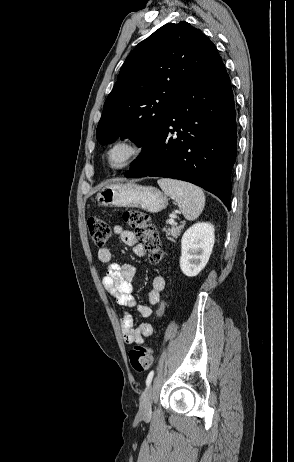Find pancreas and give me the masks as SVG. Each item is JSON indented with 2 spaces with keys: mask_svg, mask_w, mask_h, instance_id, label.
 Here are the masks:
<instances>
[{
  "mask_svg": "<svg viewBox=\"0 0 294 462\" xmlns=\"http://www.w3.org/2000/svg\"><path fill=\"white\" fill-rule=\"evenodd\" d=\"M184 228V224L180 226H172L171 228H165L164 231L166 232V236H168L169 240L175 241L181 233V230ZM171 236V237H169Z\"/></svg>",
  "mask_w": 294,
  "mask_h": 462,
  "instance_id": "pancreas-1",
  "label": "pancreas"
}]
</instances>
